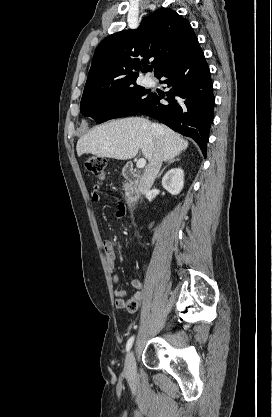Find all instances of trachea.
Instances as JSON below:
<instances>
[{"label":"trachea","instance_id":"obj_1","mask_svg":"<svg viewBox=\"0 0 272 417\" xmlns=\"http://www.w3.org/2000/svg\"><path fill=\"white\" fill-rule=\"evenodd\" d=\"M146 70H147V71H152V70H153V68H152V67H149V68H147Z\"/></svg>","mask_w":272,"mask_h":417}]
</instances>
